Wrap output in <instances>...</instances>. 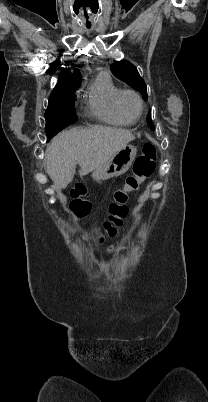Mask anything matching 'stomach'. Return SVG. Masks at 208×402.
<instances>
[{
    "label": "stomach",
    "instance_id": "0dacf381",
    "mask_svg": "<svg viewBox=\"0 0 208 402\" xmlns=\"http://www.w3.org/2000/svg\"><path fill=\"white\" fill-rule=\"evenodd\" d=\"M136 154V148L126 144L122 150H119L114 156H111L108 162H105L103 166H99L97 170H94L92 174L93 180L101 182V180H109V178L122 176V174H125V172L129 170Z\"/></svg>",
    "mask_w": 208,
    "mask_h": 402
}]
</instances>
